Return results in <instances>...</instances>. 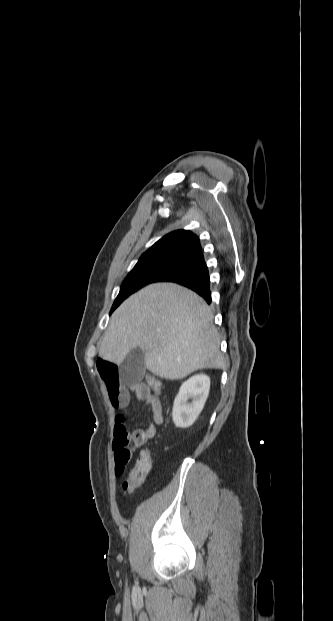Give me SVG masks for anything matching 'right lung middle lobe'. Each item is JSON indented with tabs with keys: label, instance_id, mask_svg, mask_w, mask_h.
<instances>
[{
	"label": "right lung middle lobe",
	"instance_id": "obj_1",
	"mask_svg": "<svg viewBox=\"0 0 333 621\" xmlns=\"http://www.w3.org/2000/svg\"><path fill=\"white\" fill-rule=\"evenodd\" d=\"M185 259L163 258L145 262H138L124 280L120 292L111 308L110 314L129 295L150 283L160 281L165 275L178 269Z\"/></svg>",
	"mask_w": 333,
	"mask_h": 621
}]
</instances>
